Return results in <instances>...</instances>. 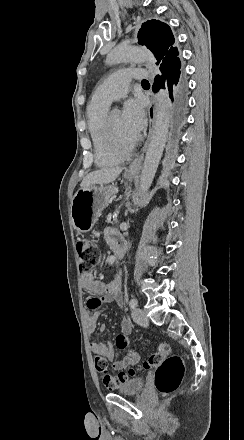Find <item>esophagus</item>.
Segmentation results:
<instances>
[{
	"instance_id": "1",
	"label": "esophagus",
	"mask_w": 244,
	"mask_h": 440,
	"mask_svg": "<svg viewBox=\"0 0 244 440\" xmlns=\"http://www.w3.org/2000/svg\"><path fill=\"white\" fill-rule=\"evenodd\" d=\"M156 108H157V100L155 97L152 98L151 103L148 107V116H149V129L148 136L145 144L143 145L140 154L130 163L127 171L133 175H138L144 160L145 152L149 146L150 140L152 138V133L154 129L155 117H156Z\"/></svg>"
}]
</instances>
